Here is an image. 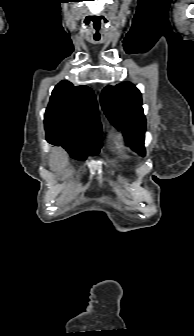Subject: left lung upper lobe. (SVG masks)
<instances>
[{"label": "left lung upper lobe", "instance_id": "1", "mask_svg": "<svg viewBox=\"0 0 194 336\" xmlns=\"http://www.w3.org/2000/svg\"><path fill=\"white\" fill-rule=\"evenodd\" d=\"M101 104L111 123L122 129L130 146L144 155L146 119L140 91L128 82L107 86L102 91Z\"/></svg>", "mask_w": 194, "mask_h": 336}]
</instances>
